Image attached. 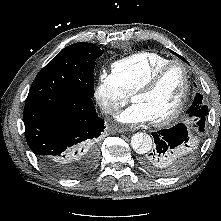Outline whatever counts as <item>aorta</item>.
I'll return each mask as SVG.
<instances>
[{
    "instance_id": "1",
    "label": "aorta",
    "mask_w": 221,
    "mask_h": 221,
    "mask_svg": "<svg viewBox=\"0 0 221 221\" xmlns=\"http://www.w3.org/2000/svg\"><path fill=\"white\" fill-rule=\"evenodd\" d=\"M132 148L139 154H145L152 148V138L142 132L135 133L131 138Z\"/></svg>"
}]
</instances>
